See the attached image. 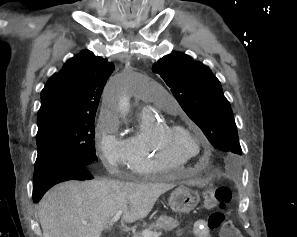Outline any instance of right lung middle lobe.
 I'll return each mask as SVG.
<instances>
[{
  "mask_svg": "<svg viewBox=\"0 0 297 237\" xmlns=\"http://www.w3.org/2000/svg\"><path fill=\"white\" fill-rule=\"evenodd\" d=\"M94 120L95 116L55 117L38 123L34 188L45 186L60 167L78 164L87 168L97 159Z\"/></svg>",
  "mask_w": 297,
  "mask_h": 237,
  "instance_id": "dd1d6c3e",
  "label": "right lung middle lobe"
}]
</instances>
